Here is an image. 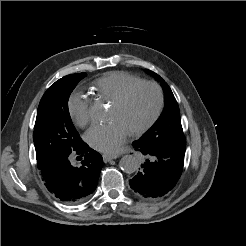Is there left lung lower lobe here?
I'll list each match as a JSON object with an SVG mask.
<instances>
[{
	"label": "left lung lower lobe",
	"instance_id": "0a47b994",
	"mask_svg": "<svg viewBox=\"0 0 246 246\" xmlns=\"http://www.w3.org/2000/svg\"><path fill=\"white\" fill-rule=\"evenodd\" d=\"M136 151L144 155L142 169L130 180V187L144 199L165 196L176 185L184 165L185 146L144 144L133 142Z\"/></svg>",
	"mask_w": 246,
	"mask_h": 246
}]
</instances>
